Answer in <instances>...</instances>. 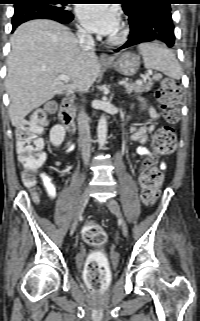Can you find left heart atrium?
<instances>
[{"label": "left heart atrium", "instance_id": "39dd6f15", "mask_svg": "<svg viewBox=\"0 0 200 321\" xmlns=\"http://www.w3.org/2000/svg\"><path fill=\"white\" fill-rule=\"evenodd\" d=\"M77 16L87 30L100 35H113L119 27L116 9L107 4H82Z\"/></svg>", "mask_w": 200, "mask_h": 321}]
</instances>
